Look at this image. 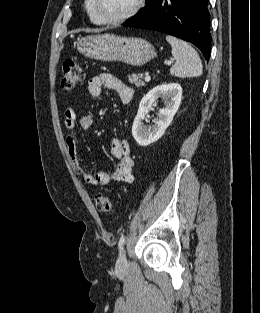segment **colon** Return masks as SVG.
Masks as SVG:
<instances>
[{
    "mask_svg": "<svg viewBox=\"0 0 260 313\" xmlns=\"http://www.w3.org/2000/svg\"><path fill=\"white\" fill-rule=\"evenodd\" d=\"M84 81V71L74 58L64 61L62 66L61 85L65 91H72L80 86ZM95 205L99 212L109 213L112 210V201L106 195H98L95 199Z\"/></svg>",
    "mask_w": 260,
    "mask_h": 313,
    "instance_id": "obj_1",
    "label": "colon"
}]
</instances>
